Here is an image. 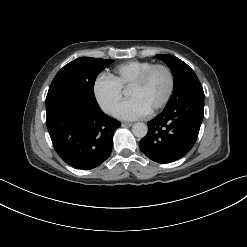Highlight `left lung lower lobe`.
<instances>
[{"instance_id": "left-lung-lower-lobe-1", "label": "left lung lower lobe", "mask_w": 247, "mask_h": 247, "mask_svg": "<svg viewBox=\"0 0 247 247\" xmlns=\"http://www.w3.org/2000/svg\"><path fill=\"white\" fill-rule=\"evenodd\" d=\"M203 114L202 97H191L165 108L148 122V133L139 142L141 151L158 163L180 159L195 144Z\"/></svg>"}]
</instances>
